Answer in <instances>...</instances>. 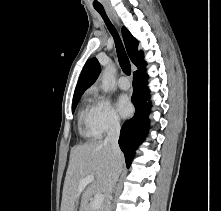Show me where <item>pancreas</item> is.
Wrapping results in <instances>:
<instances>
[{"label":"pancreas","mask_w":221,"mask_h":211,"mask_svg":"<svg viewBox=\"0 0 221 211\" xmlns=\"http://www.w3.org/2000/svg\"><path fill=\"white\" fill-rule=\"evenodd\" d=\"M84 211H104V206H101V207H99V208H97V209H93V208L91 207V204H87V205L85 206Z\"/></svg>","instance_id":"pancreas-1"}]
</instances>
